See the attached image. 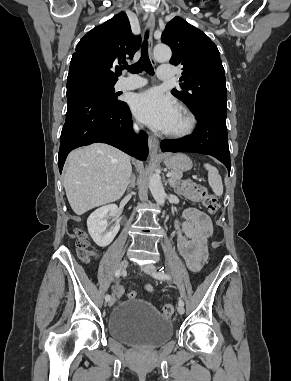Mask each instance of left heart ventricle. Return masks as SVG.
I'll return each instance as SVG.
<instances>
[{"instance_id":"b2bd125f","label":"left heart ventricle","mask_w":291,"mask_h":381,"mask_svg":"<svg viewBox=\"0 0 291 381\" xmlns=\"http://www.w3.org/2000/svg\"><path fill=\"white\" fill-rule=\"evenodd\" d=\"M184 124V118L183 116L180 114V112L178 113L172 127L170 128V130H175V129H178L180 128L182 125Z\"/></svg>"}]
</instances>
